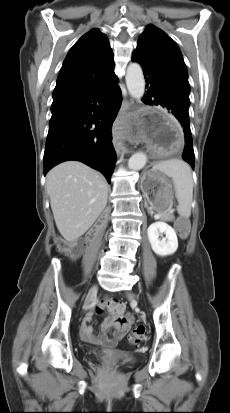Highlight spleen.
<instances>
[{
    "mask_svg": "<svg viewBox=\"0 0 230 413\" xmlns=\"http://www.w3.org/2000/svg\"><path fill=\"white\" fill-rule=\"evenodd\" d=\"M152 171L161 172L172 178L178 201V214L183 218H189L193 199V178L189 165L180 159H169L154 165Z\"/></svg>",
    "mask_w": 230,
    "mask_h": 413,
    "instance_id": "1",
    "label": "spleen"
}]
</instances>
